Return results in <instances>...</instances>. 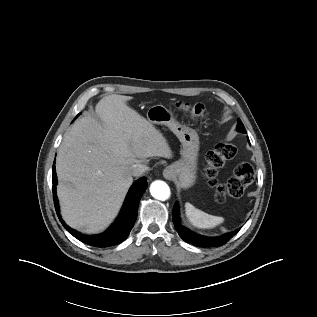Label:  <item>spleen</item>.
<instances>
[{
	"label": "spleen",
	"instance_id": "1",
	"mask_svg": "<svg viewBox=\"0 0 317 317\" xmlns=\"http://www.w3.org/2000/svg\"><path fill=\"white\" fill-rule=\"evenodd\" d=\"M185 213L189 222L199 229H210L214 228L217 225L221 224L224 221L223 217L210 215L205 213L197 208H195L192 204L187 202L185 204Z\"/></svg>",
	"mask_w": 317,
	"mask_h": 317
}]
</instances>
